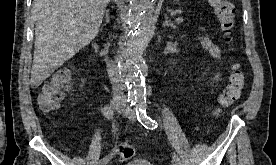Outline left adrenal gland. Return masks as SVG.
Segmentation results:
<instances>
[{"instance_id":"1","label":"left adrenal gland","mask_w":276,"mask_h":165,"mask_svg":"<svg viewBox=\"0 0 276 165\" xmlns=\"http://www.w3.org/2000/svg\"><path fill=\"white\" fill-rule=\"evenodd\" d=\"M162 26H163V27L169 26V27H171V28H173V29H175V27H176V26L169 20L167 14H165V21L163 22V25H162Z\"/></svg>"}]
</instances>
